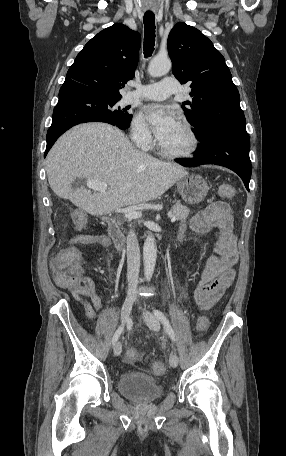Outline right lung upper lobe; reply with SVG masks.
Wrapping results in <instances>:
<instances>
[{
	"label": "right lung upper lobe",
	"mask_w": 286,
	"mask_h": 456,
	"mask_svg": "<svg viewBox=\"0 0 286 456\" xmlns=\"http://www.w3.org/2000/svg\"><path fill=\"white\" fill-rule=\"evenodd\" d=\"M140 44V34L123 24L102 30L77 55L63 86L83 88L101 99L119 100V89L134 77Z\"/></svg>",
	"instance_id": "1"
}]
</instances>
